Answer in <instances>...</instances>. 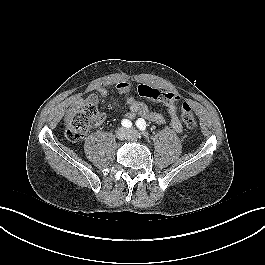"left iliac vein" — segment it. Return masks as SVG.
Listing matches in <instances>:
<instances>
[{"mask_svg":"<svg viewBox=\"0 0 265 265\" xmlns=\"http://www.w3.org/2000/svg\"><path fill=\"white\" fill-rule=\"evenodd\" d=\"M129 133L130 134H135V130L131 129V130H129Z\"/></svg>","mask_w":265,"mask_h":265,"instance_id":"4c4485c4","label":"left iliac vein"}]
</instances>
